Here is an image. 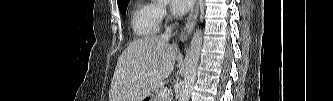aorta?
I'll list each match as a JSON object with an SVG mask.
<instances>
[{
  "instance_id": "1",
  "label": "aorta",
  "mask_w": 333,
  "mask_h": 101,
  "mask_svg": "<svg viewBox=\"0 0 333 101\" xmlns=\"http://www.w3.org/2000/svg\"><path fill=\"white\" fill-rule=\"evenodd\" d=\"M203 33L197 29L194 33L185 57V72L179 101H189L193 89L202 47Z\"/></svg>"
}]
</instances>
